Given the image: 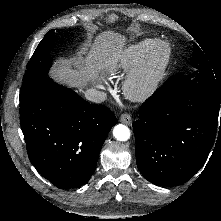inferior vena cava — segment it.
I'll list each match as a JSON object with an SVG mask.
<instances>
[{
    "mask_svg": "<svg viewBox=\"0 0 221 221\" xmlns=\"http://www.w3.org/2000/svg\"><path fill=\"white\" fill-rule=\"evenodd\" d=\"M85 97L86 99L95 103H101L107 99L106 93L98 91L96 89H88L85 92Z\"/></svg>",
    "mask_w": 221,
    "mask_h": 221,
    "instance_id": "602c4592",
    "label": "inferior vena cava"
}]
</instances>
